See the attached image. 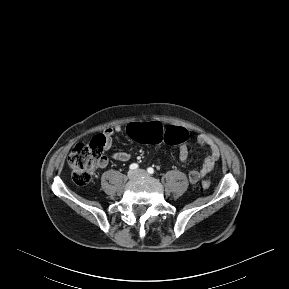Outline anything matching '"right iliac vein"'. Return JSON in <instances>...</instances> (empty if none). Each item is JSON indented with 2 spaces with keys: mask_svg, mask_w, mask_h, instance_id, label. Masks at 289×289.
I'll use <instances>...</instances> for the list:
<instances>
[{
  "mask_svg": "<svg viewBox=\"0 0 289 289\" xmlns=\"http://www.w3.org/2000/svg\"><path fill=\"white\" fill-rule=\"evenodd\" d=\"M127 176H128L129 179H135L136 176H137V172L134 171V170H130V171L128 172Z\"/></svg>",
  "mask_w": 289,
  "mask_h": 289,
  "instance_id": "obj_1",
  "label": "right iliac vein"
}]
</instances>
